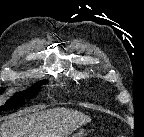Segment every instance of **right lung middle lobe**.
I'll use <instances>...</instances> for the list:
<instances>
[{
    "instance_id": "dd1d6c3e",
    "label": "right lung middle lobe",
    "mask_w": 144,
    "mask_h": 137,
    "mask_svg": "<svg viewBox=\"0 0 144 137\" xmlns=\"http://www.w3.org/2000/svg\"><path fill=\"white\" fill-rule=\"evenodd\" d=\"M46 81H41L39 84H35L30 87L27 91L16 94L13 98L8 100L5 105L0 106V111L11 110L24 104L26 99L32 98L40 89L39 85L44 84Z\"/></svg>"
}]
</instances>
